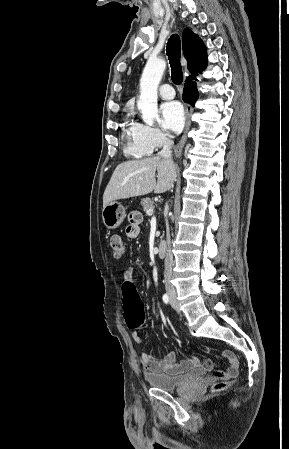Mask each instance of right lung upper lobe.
<instances>
[{
  "label": "right lung upper lobe",
  "mask_w": 289,
  "mask_h": 449,
  "mask_svg": "<svg viewBox=\"0 0 289 449\" xmlns=\"http://www.w3.org/2000/svg\"><path fill=\"white\" fill-rule=\"evenodd\" d=\"M183 52L188 62V69L195 77L207 65L206 47L198 35L186 28L183 32Z\"/></svg>",
  "instance_id": "1"
}]
</instances>
